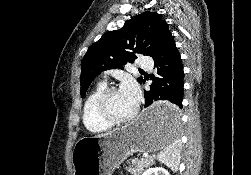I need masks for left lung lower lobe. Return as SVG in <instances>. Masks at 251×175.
<instances>
[{"label":"left lung lower lobe","mask_w":251,"mask_h":175,"mask_svg":"<svg viewBox=\"0 0 251 175\" xmlns=\"http://www.w3.org/2000/svg\"><path fill=\"white\" fill-rule=\"evenodd\" d=\"M152 58L158 67V77L152 76L151 90L144 91V95L145 107L154 106L143 115L142 121L152 126L177 124L182 119L184 72L171 32Z\"/></svg>","instance_id":"0a47b994"}]
</instances>
